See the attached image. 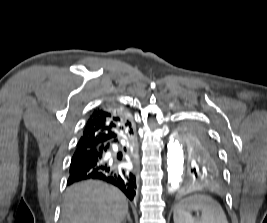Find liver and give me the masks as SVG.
<instances>
[{
  "instance_id": "1",
  "label": "liver",
  "mask_w": 267,
  "mask_h": 223,
  "mask_svg": "<svg viewBox=\"0 0 267 223\" xmlns=\"http://www.w3.org/2000/svg\"><path fill=\"white\" fill-rule=\"evenodd\" d=\"M127 213L128 201L120 190L86 181L68 188L60 223H121Z\"/></svg>"
}]
</instances>
